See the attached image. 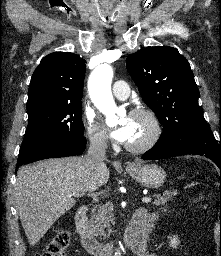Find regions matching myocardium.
Here are the masks:
<instances>
[{"instance_id":"f54148a6","label":"myocardium","mask_w":221,"mask_h":256,"mask_svg":"<svg viewBox=\"0 0 221 256\" xmlns=\"http://www.w3.org/2000/svg\"><path fill=\"white\" fill-rule=\"evenodd\" d=\"M131 115L145 117L150 123L151 131L148 137L142 142L136 144L127 143L126 149L134 153L148 151L160 140L163 132L162 123L158 115L147 107H137L132 111Z\"/></svg>"}]
</instances>
